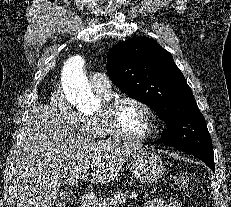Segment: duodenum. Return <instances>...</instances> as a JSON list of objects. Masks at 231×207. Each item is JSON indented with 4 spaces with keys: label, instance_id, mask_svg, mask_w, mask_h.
I'll return each mask as SVG.
<instances>
[{
    "label": "duodenum",
    "instance_id": "duodenum-1",
    "mask_svg": "<svg viewBox=\"0 0 231 207\" xmlns=\"http://www.w3.org/2000/svg\"><path fill=\"white\" fill-rule=\"evenodd\" d=\"M95 200L93 193L84 194L79 200V207H92Z\"/></svg>",
    "mask_w": 231,
    "mask_h": 207
}]
</instances>
